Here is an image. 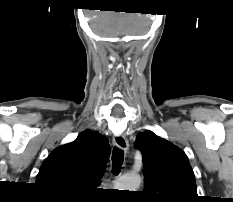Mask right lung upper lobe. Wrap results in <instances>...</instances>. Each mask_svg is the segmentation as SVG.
<instances>
[{"instance_id":"1","label":"right lung upper lobe","mask_w":233,"mask_h":202,"mask_svg":"<svg viewBox=\"0 0 233 202\" xmlns=\"http://www.w3.org/2000/svg\"><path fill=\"white\" fill-rule=\"evenodd\" d=\"M109 153L106 137L86 130L45 159L36 183L59 196L83 195L99 184Z\"/></svg>"}]
</instances>
